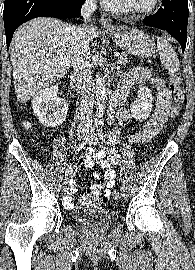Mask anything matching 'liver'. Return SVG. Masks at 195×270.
Returning a JSON list of instances; mask_svg holds the SVG:
<instances>
[{
  "label": "liver",
  "instance_id": "obj_1",
  "mask_svg": "<svg viewBox=\"0 0 195 270\" xmlns=\"http://www.w3.org/2000/svg\"><path fill=\"white\" fill-rule=\"evenodd\" d=\"M75 25L54 18H36L19 27L10 44L17 100L27 102L64 77L71 65ZM91 41L97 30L89 27Z\"/></svg>",
  "mask_w": 195,
  "mask_h": 270
}]
</instances>
